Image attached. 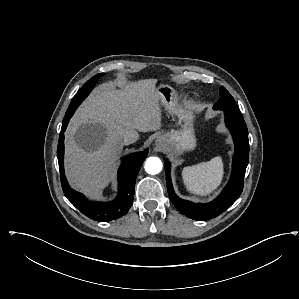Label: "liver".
<instances>
[{"instance_id": "liver-1", "label": "liver", "mask_w": 299, "mask_h": 299, "mask_svg": "<svg viewBox=\"0 0 299 299\" xmlns=\"http://www.w3.org/2000/svg\"><path fill=\"white\" fill-rule=\"evenodd\" d=\"M156 83V79L124 81L119 89L103 84L79 107L65 143L66 175L75 189L89 197L101 194L112 179L127 132L162 126Z\"/></svg>"}]
</instances>
